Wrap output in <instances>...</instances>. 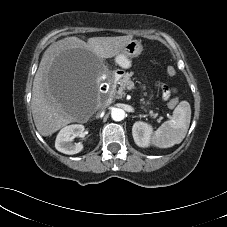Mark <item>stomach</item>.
Wrapping results in <instances>:
<instances>
[{"label":"stomach","mask_w":227,"mask_h":227,"mask_svg":"<svg viewBox=\"0 0 227 227\" xmlns=\"http://www.w3.org/2000/svg\"><path fill=\"white\" fill-rule=\"evenodd\" d=\"M143 46L140 41L132 40L125 45L122 51L116 56L115 62L122 67L127 69L131 66V59L141 54Z\"/></svg>","instance_id":"obj_1"}]
</instances>
